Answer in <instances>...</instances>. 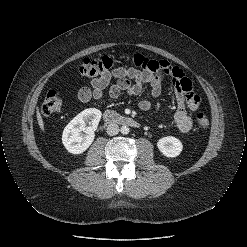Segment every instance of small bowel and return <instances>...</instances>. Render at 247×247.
<instances>
[{"label": "small bowel", "instance_id": "c3829d8e", "mask_svg": "<svg viewBox=\"0 0 247 247\" xmlns=\"http://www.w3.org/2000/svg\"><path fill=\"white\" fill-rule=\"evenodd\" d=\"M134 62L140 68L121 66L91 79V88L80 89L78 99L81 102H88L91 99L100 100L106 89L112 99L119 97L122 93L136 96L142 93L145 85H149L150 98L143 99L139 103L141 110L148 111L153 106V99L161 95L162 78L168 76L172 81L177 104L174 114L176 126L180 133H189L192 128V119L187 109L194 111L201 104V98L194 92L190 80L180 68L166 60H154L135 55ZM113 79L116 80L115 83H112Z\"/></svg>", "mask_w": 247, "mask_h": 247}]
</instances>
